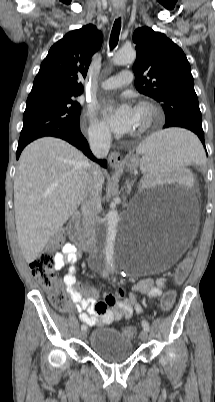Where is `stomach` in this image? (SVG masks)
Segmentation results:
<instances>
[{"mask_svg": "<svg viewBox=\"0 0 215 402\" xmlns=\"http://www.w3.org/2000/svg\"><path fill=\"white\" fill-rule=\"evenodd\" d=\"M139 165V162L135 158H129L126 162V168L130 171H134Z\"/></svg>", "mask_w": 215, "mask_h": 402, "instance_id": "0dacf381", "label": "stomach"}]
</instances>
